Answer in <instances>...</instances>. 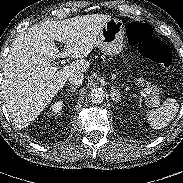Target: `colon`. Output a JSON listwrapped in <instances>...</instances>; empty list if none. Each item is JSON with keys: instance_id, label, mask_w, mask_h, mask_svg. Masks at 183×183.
<instances>
[{"instance_id": "5ec220e1", "label": "colon", "mask_w": 183, "mask_h": 183, "mask_svg": "<svg viewBox=\"0 0 183 183\" xmlns=\"http://www.w3.org/2000/svg\"><path fill=\"white\" fill-rule=\"evenodd\" d=\"M152 33L151 26L145 23L132 22L126 27L128 43L136 46L144 58L152 60L168 72L172 64L170 48Z\"/></svg>"}]
</instances>
